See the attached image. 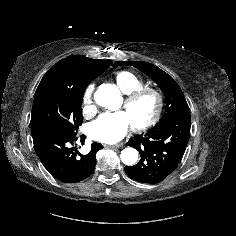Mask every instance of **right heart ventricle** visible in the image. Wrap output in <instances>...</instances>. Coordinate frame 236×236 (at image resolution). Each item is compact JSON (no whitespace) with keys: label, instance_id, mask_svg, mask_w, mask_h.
Masks as SVG:
<instances>
[{"label":"right heart ventricle","instance_id":"1","mask_svg":"<svg viewBox=\"0 0 236 236\" xmlns=\"http://www.w3.org/2000/svg\"><path fill=\"white\" fill-rule=\"evenodd\" d=\"M115 83L123 94H129L133 91L146 87L142 78L130 71H119L115 75Z\"/></svg>","mask_w":236,"mask_h":236}]
</instances>
